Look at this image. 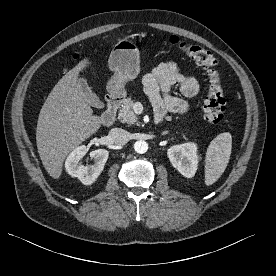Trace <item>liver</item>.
Wrapping results in <instances>:
<instances>
[{"label":"liver","instance_id":"1","mask_svg":"<svg viewBox=\"0 0 276 276\" xmlns=\"http://www.w3.org/2000/svg\"><path fill=\"white\" fill-rule=\"evenodd\" d=\"M90 62L83 59L54 86L37 121L36 143L47 173L59 179L66 156L96 133L103 123L93 115L78 85L79 73Z\"/></svg>","mask_w":276,"mask_h":276}]
</instances>
